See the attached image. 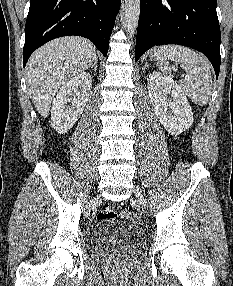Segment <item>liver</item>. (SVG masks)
Instances as JSON below:
<instances>
[{"label":"liver","instance_id":"obj_1","mask_svg":"<svg viewBox=\"0 0 233 286\" xmlns=\"http://www.w3.org/2000/svg\"><path fill=\"white\" fill-rule=\"evenodd\" d=\"M96 58L93 43L76 36L54 39L32 54L26 81L29 96L43 118L48 116L58 89L90 67Z\"/></svg>","mask_w":233,"mask_h":286}]
</instances>
